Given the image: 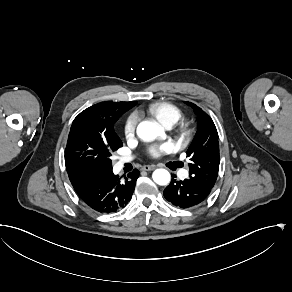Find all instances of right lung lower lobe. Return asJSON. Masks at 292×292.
Returning a JSON list of instances; mask_svg holds the SVG:
<instances>
[{"label":"right lung lower lobe","instance_id":"98d812e1","mask_svg":"<svg viewBox=\"0 0 292 292\" xmlns=\"http://www.w3.org/2000/svg\"><path fill=\"white\" fill-rule=\"evenodd\" d=\"M67 172L81 200L100 213H113L124 208L131 200L140 174L137 169L124 177L115 175L112 169H69Z\"/></svg>","mask_w":292,"mask_h":292}]
</instances>
